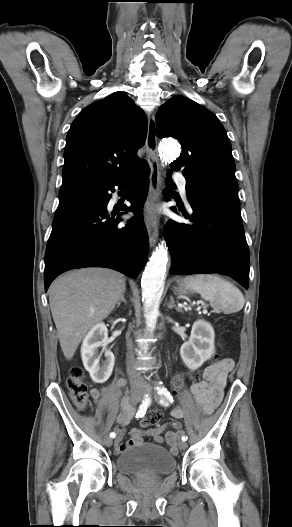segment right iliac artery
<instances>
[{
  "instance_id": "obj_1",
  "label": "right iliac artery",
  "mask_w": 292,
  "mask_h": 527,
  "mask_svg": "<svg viewBox=\"0 0 292 527\" xmlns=\"http://www.w3.org/2000/svg\"><path fill=\"white\" fill-rule=\"evenodd\" d=\"M150 403H151V399L147 394L145 395L144 400L142 401V404L139 407L136 417H143ZM115 436H116L115 432L110 433L111 438H115Z\"/></svg>"
}]
</instances>
